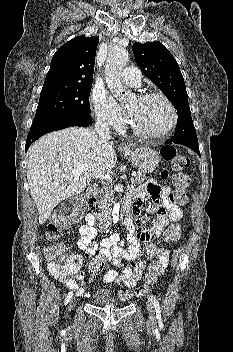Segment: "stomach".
Wrapping results in <instances>:
<instances>
[{"label": "stomach", "instance_id": "obj_1", "mask_svg": "<svg viewBox=\"0 0 233 352\" xmlns=\"http://www.w3.org/2000/svg\"><path fill=\"white\" fill-rule=\"evenodd\" d=\"M124 154L135 168L144 173L155 170L161 161L158 152L149 147L127 148Z\"/></svg>", "mask_w": 233, "mask_h": 352}]
</instances>
